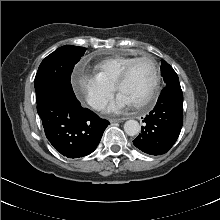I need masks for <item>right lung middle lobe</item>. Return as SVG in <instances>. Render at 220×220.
I'll return each mask as SVG.
<instances>
[{
  "instance_id": "right-lung-middle-lobe-1",
  "label": "right lung middle lobe",
  "mask_w": 220,
  "mask_h": 220,
  "mask_svg": "<svg viewBox=\"0 0 220 220\" xmlns=\"http://www.w3.org/2000/svg\"><path fill=\"white\" fill-rule=\"evenodd\" d=\"M85 51L84 47L65 45L41 62L34 81L37 101L58 88L74 93L70 82L71 73Z\"/></svg>"
}]
</instances>
